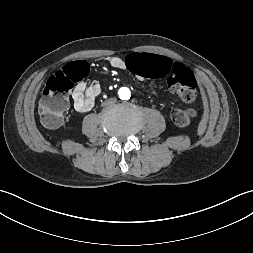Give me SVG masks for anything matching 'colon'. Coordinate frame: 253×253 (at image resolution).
Listing matches in <instances>:
<instances>
[{"label": "colon", "instance_id": "5ec220e1", "mask_svg": "<svg viewBox=\"0 0 253 253\" xmlns=\"http://www.w3.org/2000/svg\"><path fill=\"white\" fill-rule=\"evenodd\" d=\"M127 67L138 77H165L170 89L185 102L192 103L196 99L194 74L167 55L133 52L127 58ZM88 70L87 63L73 62L48 79L39 103V115L44 126L55 128L61 124L68 109L69 93L75 83L86 77ZM195 115L192 108H177L171 113L173 122L180 127L190 125Z\"/></svg>", "mask_w": 253, "mask_h": 253}]
</instances>
